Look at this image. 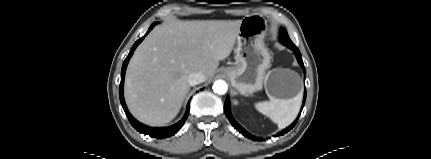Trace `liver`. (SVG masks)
<instances>
[{"label":"liver","instance_id":"1","mask_svg":"<svg viewBox=\"0 0 431 159\" xmlns=\"http://www.w3.org/2000/svg\"><path fill=\"white\" fill-rule=\"evenodd\" d=\"M241 20L169 21L154 28L132 56L124 96L140 122L160 126L179 113L189 92L188 77H212L235 45Z\"/></svg>","mask_w":431,"mask_h":159}]
</instances>
